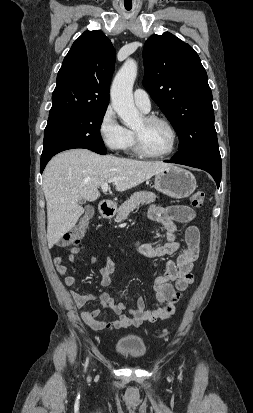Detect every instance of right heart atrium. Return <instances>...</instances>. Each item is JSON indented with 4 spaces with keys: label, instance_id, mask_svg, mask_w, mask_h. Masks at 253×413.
<instances>
[{
    "label": "right heart atrium",
    "instance_id": "d8ad5b80",
    "mask_svg": "<svg viewBox=\"0 0 253 413\" xmlns=\"http://www.w3.org/2000/svg\"><path fill=\"white\" fill-rule=\"evenodd\" d=\"M98 133L104 145L113 151L126 150L132 137L131 131L119 122L111 106H107L100 117Z\"/></svg>",
    "mask_w": 253,
    "mask_h": 413
}]
</instances>
